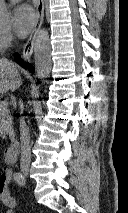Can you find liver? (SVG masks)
Instances as JSON below:
<instances>
[{"label":"liver","instance_id":"liver-1","mask_svg":"<svg viewBox=\"0 0 128 213\" xmlns=\"http://www.w3.org/2000/svg\"><path fill=\"white\" fill-rule=\"evenodd\" d=\"M21 84L16 66L6 59H0V94L15 90Z\"/></svg>","mask_w":128,"mask_h":213}]
</instances>
